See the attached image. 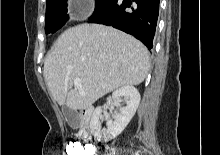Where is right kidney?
I'll list each match as a JSON object with an SVG mask.
<instances>
[{"mask_svg":"<svg viewBox=\"0 0 220 155\" xmlns=\"http://www.w3.org/2000/svg\"><path fill=\"white\" fill-rule=\"evenodd\" d=\"M120 99L126 102V106L114 112V121L107 120V129L101 127L102 107L95 109L90 122L91 133L95 138L102 139L105 142L116 138L133 118L140 103L138 90L130 85L123 86L113 92L111 102L108 104H111L113 109L114 105H118Z\"/></svg>","mask_w":220,"mask_h":155,"instance_id":"obj_1","label":"right kidney"}]
</instances>
